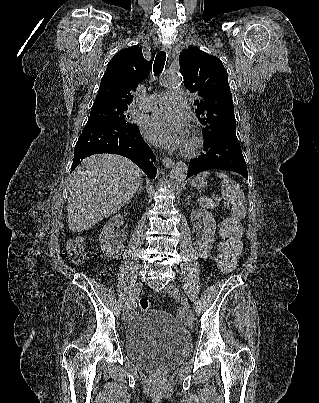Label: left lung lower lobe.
Wrapping results in <instances>:
<instances>
[{
    "instance_id": "1",
    "label": "left lung lower lobe",
    "mask_w": 319,
    "mask_h": 403,
    "mask_svg": "<svg viewBox=\"0 0 319 403\" xmlns=\"http://www.w3.org/2000/svg\"><path fill=\"white\" fill-rule=\"evenodd\" d=\"M204 153L189 163L187 177L199 172L220 169L247 177V166L236 136V128H227L212 138H204Z\"/></svg>"
}]
</instances>
